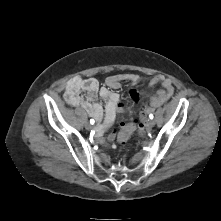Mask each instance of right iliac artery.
Wrapping results in <instances>:
<instances>
[{
  "label": "right iliac artery",
  "instance_id": "82829eb1",
  "mask_svg": "<svg viewBox=\"0 0 221 221\" xmlns=\"http://www.w3.org/2000/svg\"><path fill=\"white\" fill-rule=\"evenodd\" d=\"M95 123V121H94V119H90V124H94Z\"/></svg>",
  "mask_w": 221,
  "mask_h": 221
}]
</instances>
